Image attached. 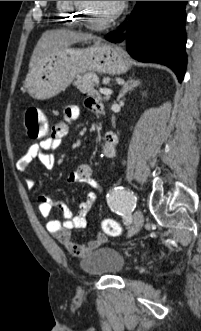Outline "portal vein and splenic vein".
I'll return each mask as SVG.
<instances>
[{
  "instance_id": "obj_1",
  "label": "portal vein and splenic vein",
  "mask_w": 201,
  "mask_h": 331,
  "mask_svg": "<svg viewBox=\"0 0 201 331\" xmlns=\"http://www.w3.org/2000/svg\"><path fill=\"white\" fill-rule=\"evenodd\" d=\"M99 92L106 96H110L112 94V90L108 88H99Z\"/></svg>"
}]
</instances>
